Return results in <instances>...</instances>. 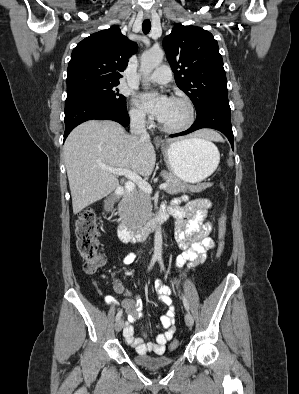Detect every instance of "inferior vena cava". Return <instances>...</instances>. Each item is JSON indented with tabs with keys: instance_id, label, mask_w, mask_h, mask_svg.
I'll return each instance as SVG.
<instances>
[{
	"instance_id": "1",
	"label": "inferior vena cava",
	"mask_w": 299,
	"mask_h": 394,
	"mask_svg": "<svg viewBox=\"0 0 299 394\" xmlns=\"http://www.w3.org/2000/svg\"><path fill=\"white\" fill-rule=\"evenodd\" d=\"M130 131L133 135L139 137L142 141H149L150 136L145 127V118L143 115L136 114L131 117Z\"/></svg>"
}]
</instances>
